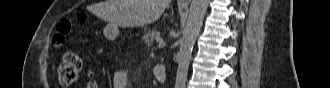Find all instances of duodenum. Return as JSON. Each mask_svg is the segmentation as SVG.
<instances>
[{
    "label": "duodenum",
    "mask_w": 330,
    "mask_h": 88,
    "mask_svg": "<svg viewBox=\"0 0 330 88\" xmlns=\"http://www.w3.org/2000/svg\"><path fill=\"white\" fill-rule=\"evenodd\" d=\"M163 67V69H165V67L164 66H162ZM165 78H166V71H165V75L164 76H162L161 78H160V81H164L165 80Z\"/></svg>",
    "instance_id": "410a0bca"
}]
</instances>
